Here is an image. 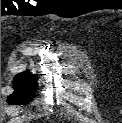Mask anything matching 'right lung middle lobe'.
I'll return each mask as SVG.
<instances>
[{
  "label": "right lung middle lobe",
  "instance_id": "right-lung-middle-lobe-1",
  "mask_svg": "<svg viewBox=\"0 0 122 123\" xmlns=\"http://www.w3.org/2000/svg\"><path fill=\"white\" fill-rule=\"evenodd\" d=\"M13 83L16 92L8 97L9 104H22L29 100L37 82L32 74L24 72L16 75Z\"/></svg>",
  "mask_w": 122,
  "mask_h": 123
}]
</instances>
